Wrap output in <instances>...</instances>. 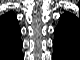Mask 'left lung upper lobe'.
<instances>
[{
  "label": "left lung upper lobe",
  "mask_w": 80,
  "mask_h": 60,
  "mask_svg": "<svg viewBox=\"0 0 80 60\" xmlns=\"http://www.w3.org/2000/svg\"><path fill=\"white\" fill-rule=\"evenodd\" d=\"M66 15H68V16H71V18H73V16L71 15V14H69V13H67V14H65L64 16H66ZM63 16V17H64ZM63 17L61 18V20L63 19ZM74 19V18H73ZM62 27H64V28H62ZM68 29H69V27H68V25H58V27L56 28V34L58 35V34H61V35H63V37H66L65 39L66 40H69V38H70V36H69V31H70V29H69V31H68Z\"/></svg>",
  "instance_id": "obj_1"
}]
</instances>
